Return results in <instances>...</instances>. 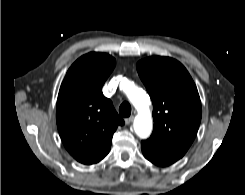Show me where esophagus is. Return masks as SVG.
Wrapping results in <instances>:
<instances>
[{
  "mask_svg": "<svg viewBox=\"0 0 245 195\" xmlns=\"http://www.w3.org/2000/svg\"><path fill=\"white\" fill-rule=\"evenodd\" d=\"M134 117L130 116L128 118L125 119V124L126 125H130L133 122Z\"/></svg>",
  "mask_w": 245,
  "mask_h": 195,
  "instance_id": "34e87169",
  "label": "esophagus"
}]
</instances>
